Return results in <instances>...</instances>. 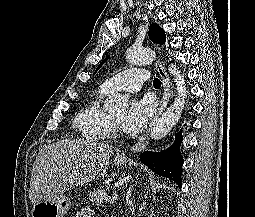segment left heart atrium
Instances as JSON below:
<instances>
[{"instance_id":"left-heart-atrium-1","label":"left heart atrium","mask_w":255,"mask_h":217,"mask_svg":"<svg viewBox=\"0 0 255 217\" xmlns=\"http://www.w3.org/2000/svg\"><path fill=\"white\" fill-rule=\"evenodd\" d=\"M153 110V102L150 99H133L128 112L121 120L123 131L130 135L139 133L152 116Z\"/></svg>"}]
</instances>
